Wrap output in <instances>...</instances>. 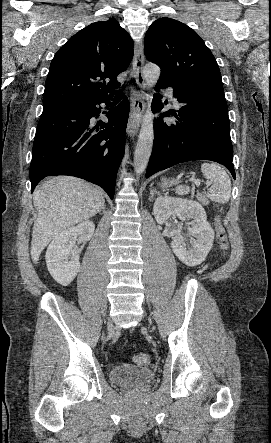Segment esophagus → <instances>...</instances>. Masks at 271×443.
<instances>
[{"label":"esophagus","instance_id":"esophagus-1","mask_svg":"<svg viewBox=\"0 0 271 443\" xmlns=\"http://www.w3.org/2000/svg\"><path fill=\"white\" fill-rule=\"evenodd\" d=\"M145 62V56L143 51V43L139 42L135 47V53L133 58V71L137 85L143 89L145 88V80L143 77V66ZM145 109L144 94L141 90H135L133 92L131 111L127 125V134L130 137H134L139 129L143 112Z\"/></svg>","mask_w":271,"mask_h":443}]
</instances>
